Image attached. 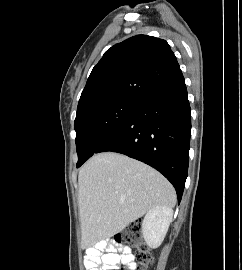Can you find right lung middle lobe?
Masks as SVG:
<instances>
[{
  "instance_id": "1",
  "label": "right lung middle lobe",
  "mask_w": 242,
  "mask_h": 270,
  "mask_svg": "<svg viewBox=\"0 0 242 270\" xmlns=\"http://www.w3.org/2000/svg\"><path fill=\"white\" fill-rule=\"evenodd\" d=\"M136 101L117 100L76 115L78 163L85 162L121 126Z\"/></svg>"
}]
</instances>
